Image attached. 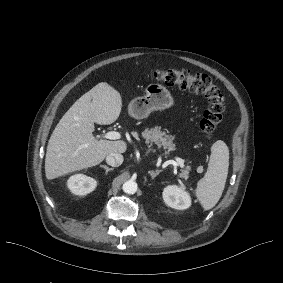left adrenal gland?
I'll return each mask as SVG.
<instances>
[{"mask_svg":"<svg viewBox=\"0 0 283 283\" xmlns=\"http://www.w3.org/2000/svg\"><path fill=\"white\" fill-rule=\"evenodd\" d=\"M163 170H156L155 172L149 171V174L151 175L152 178L156 177L160 172Z\"/></svg>","mask_w":283,"mask_h":283,"instance_id":"obj_1","label":"left adrenal gland"}]
</instances>
